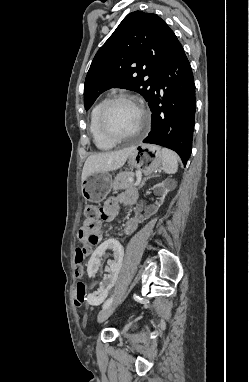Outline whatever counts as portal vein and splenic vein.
I'll use <instances>...</instances> for the list:
<instances>
[{
    "label": "portal vein and splenic vein",
    "instance_id": "portal-vein-and-splenic-vein-1",
    "mask_svg": "<svg viewBox=\"0 0 249 382\" xmlns=\"http://www.w3.org/2000/svg\"><path fill=\"white\" fill-rule=\"evenodd\" d=\"M129 181H130V182H133L134 179H133V178H129ZM139 182H140V180H137L136 183H135L134 185H135V186L139 185Z\"/></svg>",
    "mask_w": 249,
    "mask_h": 382
}]
</instances>
